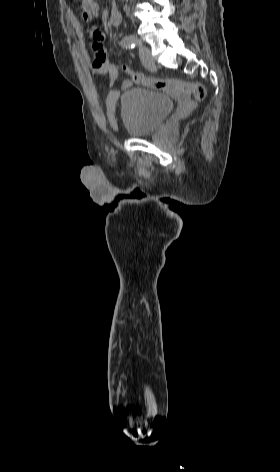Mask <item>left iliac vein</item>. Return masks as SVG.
I'll use <instances>...</instances> for the list:
<instances>
[{"label":"left iliac vein","mask_w":280,"mask_h":472,"mask_svg":"<svg viewBox=\"0 0 280 472\" xmlns=\"http://www.w3.org/2000/svg\"><path fill=\"white\" fill-rule=\"evenodd\" d=\"M139 57L144 67L146 68H154L155 67V60L151 55V51L149 48L140 45L139 46Z\"/></svg>","instance_id":"4c4485c4"}]
</instances>
